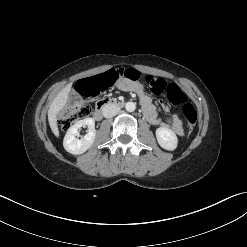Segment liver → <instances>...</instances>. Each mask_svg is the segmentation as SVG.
Instances as JSON below:
<instances>
[{
	"mask_svg": "<svg viewBox=\"0 0 247 247\" xmlns=\"http://www.w3.org/2000/svg\"><path fill=\"white\" fill-rule=\"evenodd\" d=\"M71 87L72 83L67 84L54 98L48 110V122L53 134L56 137H59V129L57 126V114L65 107L69 98V92L71 91Z\"/></svg>",
	"mask_w": 247,
	"mask_h": 247,
	"instance_id": "6515ba94",
	"label": "liver"
}]
</instances>
